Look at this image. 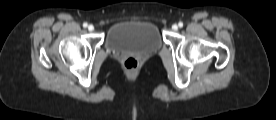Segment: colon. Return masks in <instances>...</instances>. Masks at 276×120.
I'll return each instance as SVG.
<instances>
[{
    "label": "colon",
    "instance_id": "colon-1",
    "mask_svg": "<svg viewBox=\"0 0 276 120\" xmlns=\"http://www.w3.org/2000/svg\"><path fill=\"white\" fill-rule=\"evenodd\" d=\"M123 66L127 71L134 72L138 68V60L135 57H127Z\"/></svg>",
    "mask_w": 276,
    "mask_h": 120
}]
</instances>
